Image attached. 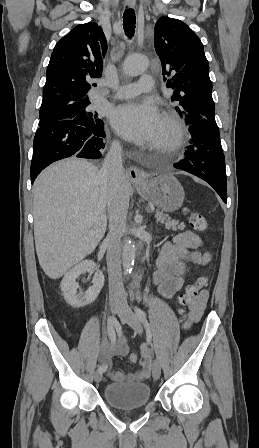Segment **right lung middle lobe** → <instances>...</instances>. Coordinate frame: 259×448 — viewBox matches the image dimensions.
<instances>
[{
	"label": "right lung middle lobe",
	"instance_id": "right-lung-middle-lobe-1",
	"mask_svg": "<svg viewBox=\"0 0 259 448\" xmlns=\"http://www.w3.org/2000/svg\"><path fill=\"white\" fill-rule=\"evenodd\" d=\"M39 127L61 120H74L78 125L94 127L102 122L98 115L91 112L89 105L76 106L64 110L39 114Z\"/></svg>",
	"mask_w": 259,
	"mask_h": 448
}]
</instances>
